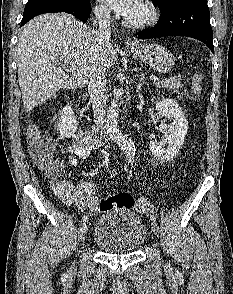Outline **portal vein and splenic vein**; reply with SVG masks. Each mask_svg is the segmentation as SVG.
I'll return each instance as SVG.
<instances>
[{
    "mask_svg": "<svg viewBox=\"0 0 233 294\" xmlns=\"http://www.w3.org/2000/svg\"><path fill=\"white\" fill-rule=\"evenodd\" d=\"M62 66L67 67L65 64H63ZM150 79L153 80V81H158L159 80L156 76H150Z\"/></svg>",
    "mask_w": 233,
    "mask_h": 294,
    "instance_id": "portal-vein-and-splenic-vein-1",
    "label": "portal vein and splenic vein"
}]
</instances>
